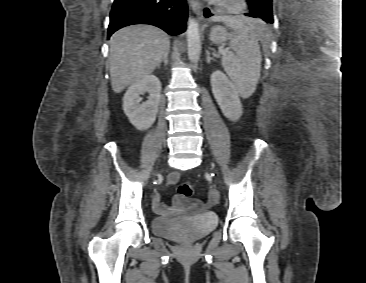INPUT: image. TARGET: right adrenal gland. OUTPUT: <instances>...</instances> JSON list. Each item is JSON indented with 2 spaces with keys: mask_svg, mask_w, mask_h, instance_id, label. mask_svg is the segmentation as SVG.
I'll list each match as a JSON object with an SVG mask.
<instances>
[{
  "mask_svg": "<svg viewBox=\"0 0 366 283\" xmlns=\"http://www.w3.org/2000/svg\"><path fill=\"white\" fill-rule=\"evenodd\" d=\"M169 51L163 56V59L158 63L157 68L160 67L161 63L164 62L165 66L168 64Z\"/></svg>",
  "mask_w": 366,
  "mask_h": 283,
  "instance_id": "obj_1",
  "label": "right adrenal gland"
}]
</instances>
